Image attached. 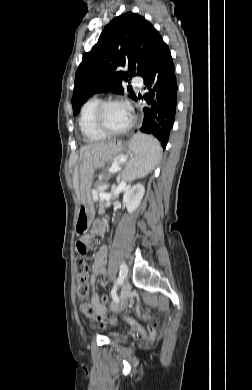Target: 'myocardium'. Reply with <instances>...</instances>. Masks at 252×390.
Segmentation results:
<instances>
[{"mask_svg": "<svg viewBox=\"0 0 252 390\" xmlns=\"http://www.w3.org/2000/svg\"><path fill=\"white\" fill-rule=\"evenodd\" d=\"M117 103L124 104L129 108V110L131 112V120H130L129 124L126 127H124L123 129L110 130V129L106 128V126L104 125L103 118H102L103 112L107 106H109L111 104H117ZM93 122H94L96 129L102 135H104L106 137L120 136V135H123V134L129 132L132 129V127L135 125L136 114H135L133 106L131 105V103L129 101L122 99V98H109V99H105V100L100 101L99 104L96 106L94 113H93Z\"/></svg>", "mask_w": 252, "mask_h": 390, "instance_id": "f54148a6", "label": "myocardium"}]
</instances>
